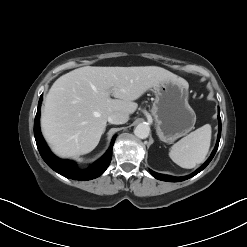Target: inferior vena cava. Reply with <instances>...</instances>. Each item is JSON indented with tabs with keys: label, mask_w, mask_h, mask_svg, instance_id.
Here are the masks:
<instances>
[{
	"label": "inferior vena cava",
	"mask_w": 247,
	"mask_h": 247,
	"mask_svg": "<svg viewBox=\"0 0 247 247\" xmlns=\"http://www.w3.org/2000/svg\"><path fill=\"white\" fill-rule=\"evenodd\" d=\"M129 115L125 112L115 111L108 116V122L111 124H124L128 121Z\"/></svg>",
	"instance_id": "obj_1"
}]
</instances>
